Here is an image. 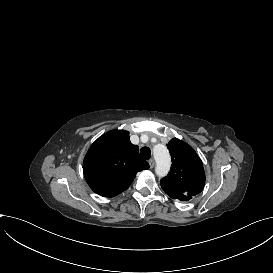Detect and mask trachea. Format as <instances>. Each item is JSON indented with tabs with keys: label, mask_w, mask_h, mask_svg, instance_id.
I'll list each match as a JSON object with an SVG mask.
<instances>
[{
	"label": "trachea",
	"mask_w": 273,
	"mask_h": 273,
	"mask_svg": "<svg viewBox=\"0 0 273 273\" xmlns=\"http://www.w3.org/2000/svg\"><path fill=\"white\" fill-rule=\"evenodd\" d=\"M140 155L144 160H149L151 157V151L148 147H143L140 150Z\"/></svg>",
	"instance_id": "trachea-1"
}]
</instances>
